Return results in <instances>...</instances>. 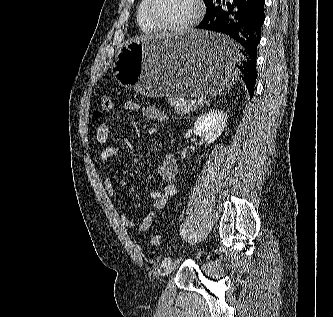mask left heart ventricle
Here are the masks:
<instances>
[{
	"label": "left heart ventricle",
	"mask_w": 333,
	"mask_h": 317,
	"mask_svg": "<svg viewBox=\"0 0 333 317\" xmlns=\"http://www.w3.org/2000/svg\"><path fill=\"white\" fill-rule=\"evenodd\" d=\"M193 0H153L152 13L160 22L182 25L192 16Z\"/></svg>",
	"instance_id": "b2bd125f"
}]
</instances>
